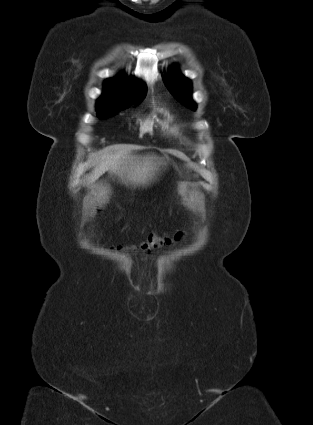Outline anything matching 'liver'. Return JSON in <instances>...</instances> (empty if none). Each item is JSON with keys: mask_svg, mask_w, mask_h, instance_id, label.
Returning <instances> with one entry per match:
<instances>
[{"mask_svg": "<svg viewBox=\"0 0 313 425\" xmlns=\"http://www.w3.org/2000/svg\"><path fill=\"white\" fill-rule=\"evenodd\" d=\"M155 157L144 158L130 155L129 151H120L111 155H104L92 170L89 182H95L106 171L117 174L121 179L134 184H145L152 178L157 163ZM160 164V163H158Z\"/></svg>", "mask_w": 313, "mask_h": 425, "instance_id": "obj_1", "label": "liver"}]
</instances>
